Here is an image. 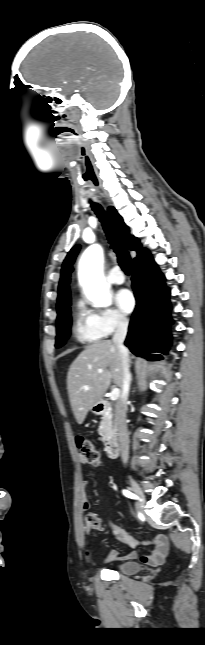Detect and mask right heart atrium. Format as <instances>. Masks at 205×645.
I'll use <instances>...</instances> for the list:
<instances>
[{
	"instance_id": "obj_1",
	"label": "right heart atrium",
	"mask_w": 205,
	"mask_h": 645,
	"mask_svg": "<svg viewBox=\"0 0 205 645\" xmlns=\"http://www.w3.org/2000/svg\"><path fill=\"white\" fill-rule=\"evenodd\" d=\"M96 327L104 336L123 330L129 325L125 314L114 308H105L93 314Z\"/></svg>"
}]
</instances>
